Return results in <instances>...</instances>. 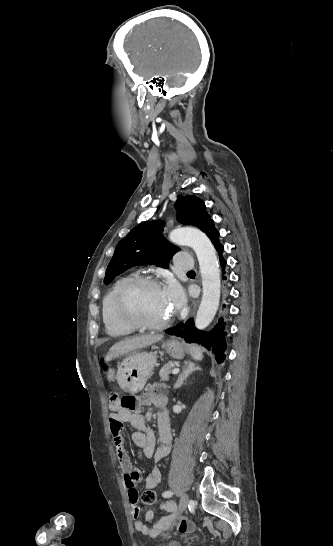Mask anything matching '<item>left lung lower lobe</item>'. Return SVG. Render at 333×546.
Listing matches in <instances>:
<instances>
[{"instance_id":"0a47b994","label":"left lung lower lobe","mask_w":333,"mask_h":546,"mask_svg":"<svg viewBox=\"0 0 333 546\" xmlns=\"http://www.w3.org/2000/svg\"><path fill=\"white\" fill-rule=\"evenodd\" d=\"M207 236L210 238L215 249L219 253L222 272L225 273L226 260L222 256L224 247L219 242V232L216 230L213 224H211ZM223 278L226 279V277ZM224 324L225 323L221 318L212 331L205 332L197 330L193 319H189L184 324L180 323L170 329H167L165 332L169 335L181 337L188 343H198L203 345L208 350L213 351L218 363H222L225 359L224 351L226 349V333L224 332Z\"/></svg>"}]
</instances>
